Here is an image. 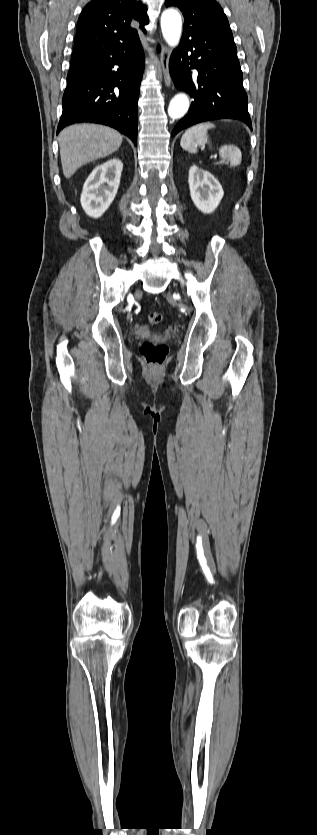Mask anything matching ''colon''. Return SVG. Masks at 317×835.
<instances>
[{"mask_svg": "<svg viewBox=\"0 0 317 835\" xmlns=\"http://www.w3.org/2000/svg\"><path fill=\"white\" fill-rule=\"evenodd\" d=\"M161 320L162 314L159 312H151L148 315V321L150 324L156 325L160 323ZM167 351V346L164 343L155 342L149 339L143 341V343L140 346V353L142 354L147 364L152 367H158L163 364L167 355Z\"/></svg>", "mask_w": 317, "mask_h": 835, "instance_id": "colon-1", "label": "colon"}]
</instances>
